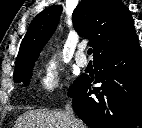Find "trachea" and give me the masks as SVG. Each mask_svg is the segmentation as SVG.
<instances>
[{"label": "trachea", "instance_id": "trachea-1", "mask_svg": "<svg viewBox=\"0 0 142 128\" xmlns=\"http://www.w3.org/2000/svg\"><path fill=\"white\" fill-rule=\"evenodd\" d=\"M88 54L91 55L92 54V48L88 49Z\"/></svg>", "mask_w": 142, "mask_h": 128}]
</instances>
